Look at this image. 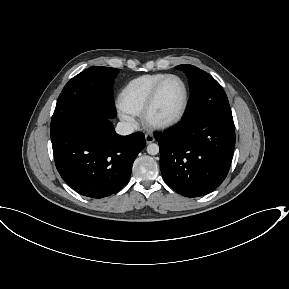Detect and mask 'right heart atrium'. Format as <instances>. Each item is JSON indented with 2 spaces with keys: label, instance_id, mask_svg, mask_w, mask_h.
Wrapping results in <instances>:
<instances>
[{
  "label": "right heart atrium",
  "instance_id": "1",
  "mask_svg": "<svg viewBox=\"0 0 289 289\" xmlns=\"http://www.w3.org/2000/svg\"><path fill=\"white\" fill-rule=\"evenodd\" d=\"M119 116L123 121L129 124H134L135 122L133 116L130 113L123 110L121 107L119 108Z\"/></svg>",
  "mask_w": 289,
  "mask_h": 289
}]
</instances>
